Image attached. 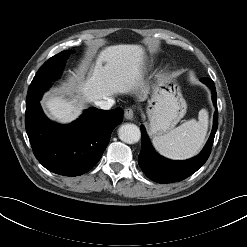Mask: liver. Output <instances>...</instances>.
Masks as SVG:
<instances>
[{"label": "liver", "instance_id": "liver-1", "mask_svg": "<svg viewBox=\"0 0 247 247\" xmlns=\"http://www.w3.org/2000/svg\"><path fill=\"white\" fill-rule=\"evenodd\" d=\"M145 50L140 45H113L100 51L85 81L70 87V99L50 94L44 100L49 115L61 123L79 117L85 103L107 100L114 94L135 91L143 78Z\"/></svg>", "mask_w": 247, "mask_h": 247}]
</instances>
